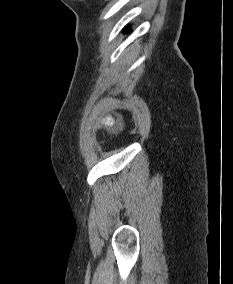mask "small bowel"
Returning <instances> with one entry per match:
<instances>
[{
	"instance_id": "1",
	"label": "small bowel",
	"mask_w": 233,
	"mask_h": 284,
	"mask_svg": "<svg viewBox=\"0 0 233 284\" xmlns=\"http://www.w3.org/2000/svg\"><path fill=\"white\" fill-rule=\"evenodd\" d=\"M106 123H107L108 125H110V124H111V121L108 119V120H106Z\"/></svg>"
}]
</instances>
